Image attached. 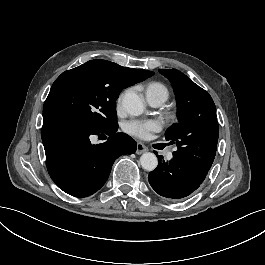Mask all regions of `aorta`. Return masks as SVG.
Masks as SVG:
<instances>
[{
    "instance_id": "1",
    "label": "aorta",
    "mask_w": 265,
    "mask_h": 265,
    "mask_svg": "<svg viewBox=\"0 0 265 265\" xmlns=\"http://www.w3.org/2000/svg\"><path fill=\"white\" fill-rule=\"evenodd\" d=\"M122 106L132 116H139L144 112L145 105L142 99L135 93H125ZM140 164L146 171H153L158 165V159L154 153L145 152L140 157Z\"/></svg>"
}]
</instances>
